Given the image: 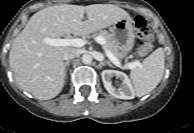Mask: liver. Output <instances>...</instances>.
I'll return each instance as SVG.
<instances>
[{
    "mask_svg": "<svg viewBox=\"0 0 194 133\" xmlns=\"http://www.w3.org/2000/svg\"><path fill=\"white\" fill-rule=\"evenodd\" d=\"M85 13L87 20L82 21ZM123 18L131 19L125 10L112 4H62L38 11L14 39L9 53L17 84L39 100L56 97L65 84L63 55L68 47L49 45L43 38L87 35Z\"/></svg>",
    "mask_w": 194,
    "mask_h": 133,
    "instance_id": "liver-1",
    "label": "liver"
}]
</instances>
